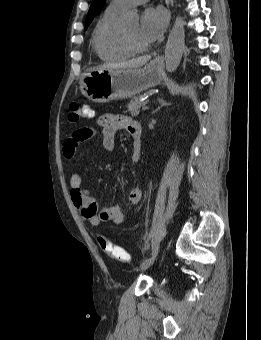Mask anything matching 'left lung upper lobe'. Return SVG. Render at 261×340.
<instances>
[{"mask_svg": "<svg viewBox=\"0 0 261 340\" xmlns=\"http://www.w3.org/2000/svg\"><path fill=\"white\" fill-rule=\"evenodd\" d=\"M106 0H93L91 7L88 11L86 22H85V29L90 25L93 18L100 12L101 8L103 7Z\"/></svg>", "mask_w": 261, "mask_h": 340, "instance_id": "obj_1", "label": "left lung upper lobe"}]
</instances>
